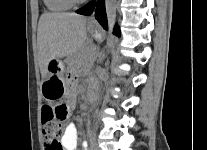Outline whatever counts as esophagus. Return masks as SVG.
I'll return each mask as SVG.
<instances>
[{
    "instance_id": "34e87169",
    "label": "esophagus",
    "mask_w": 207,
    "mask_h": 150,
    "mask_svg": "<svg viewBox=\"0 0 207 150\" xmlns=\"http://www.w3.org/2000/svg\"><path fill=\"white\" fill-rule=\"evenodd\" d=\"M89 22L90 23H96L95 14L94 13H92L91 16L89 17Z\"/></svg>"
}]
</instances>
